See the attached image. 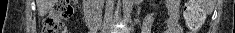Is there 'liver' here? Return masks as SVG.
<instances>
[{"label": "liver", "mask_w": 235, "mask_h": 33, "mask_svg": "<svg viewBox=\"0 0 235 33\" xmlns=\"http://www.w3.org/2000/svg\"><path fill=\"white\" fill-rule=\"evenodd\" d=\"M54 2V0H36L38 14L40 16L46 15Z\"/></svg>", "instance_id": "1"}]
</instances>
